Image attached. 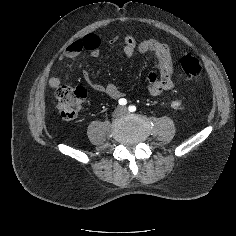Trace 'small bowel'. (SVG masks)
<instances>
[{
    "label": "small bowel",
    "mask_w": 236,
    "mask_h": 236,
    "mask_svg": "<svg viewBox=\"0 0 236 236\" xmlns=\"http://www.w3.org/2000/svg\"><path fill=\"white\" fill-rule=\"evenodd\" d=\"M113 42L114 38H111L109 43ZM100 45V36L96 33H88L70 43L61 55L60 60L74 59L84 51H88L92 57H98ZM122 50L127 57L148 52L154 54V69L148 73L146 78L149 94L158 96L174 87V63L168 43L156 39H145L137 43L132 35H126ZM61 70L62 66L59 67V71ZM83 78L92 90L104 93L112 99H119L124 95L114 84H102L95 81L88 71L83 72ZM49 85L53 89H58L62 85V81L59 76L53 75L49 79Z\"/></svg>",
    "instance_id": "obj_1"
}]
</instances>
